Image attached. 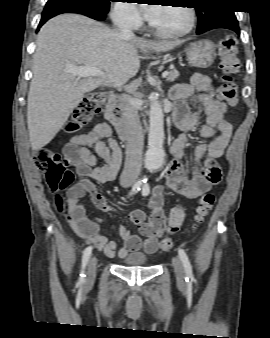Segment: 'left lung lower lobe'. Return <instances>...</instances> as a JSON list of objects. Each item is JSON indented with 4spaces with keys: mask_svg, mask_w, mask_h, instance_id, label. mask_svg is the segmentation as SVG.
<instances>
[{
    "mask_svg": "<svg viewBox=\"0 0 270 338\" xmlns=\"http://www.w3.org/2000/svg\"><path fill=\"white\" fill-rule=\"evenodd\" d=\"M214 28H227L235 31L238 35L240 34L238 21L235 16L226 17L223 20L214 23L210 29Z\"/></svg>",
    "mask_w": 270,
    "mask_h": 338,
    "instance_id": "1",
    "label": "left lung lower lobe"
}]
</instances>
